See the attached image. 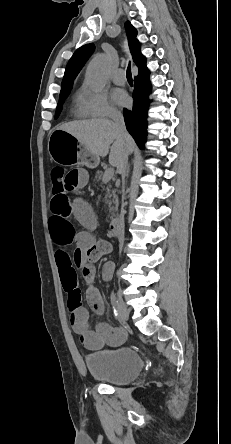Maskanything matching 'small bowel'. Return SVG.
<instances>
[{
    "label": "small bowel",
    "mask_w": 231,
    "mask_h": 444,
    "mask_svg": "<svg viewBox=\"0 0 231 444\" xmlns=\"http://www.w3.org/2000/svg\"><path fill=\"white\" fill-rule=\"evenodd\" d=\"M89 181V173L84 168L71 169L66 174L65 183L69 191L77 192ZM51 216L49 230L53 243L57 246L55 260L59 270L62 286L68 295L70 324L79 335L84 347L99 350L104 346H118L125 341L126 333L113 328L107 323H98L91 328L89 311L83 305L77 284L76 268H79L88 282L86 299L90 307L102 313L104 303L99 290L92 284L94 279L93 264L111 250L106 242L96 241L89 231H76L71 217L86 227L95 224V215L89 203L80 195L70 199L52 198L50 203ZM113 267L106 263L102 269L104 279H109Z\"/></svg>",
    "instance_id": "1"
}]
</instances>
